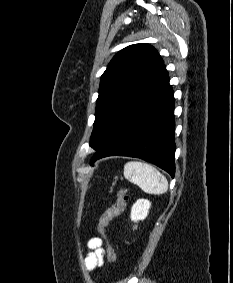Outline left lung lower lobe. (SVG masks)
Here are the masks:
<instances>
[{
	"label": "left lung lower lobe",
	"instance_id": "left-lung-lower-lobe-1",
	"mask_svg": "<svg viewBox=\"0 0 233 283\" xmlns=\"http://www.w3.org/2000/svg\"><path fill=\"white\" fill-rule=\"evenodd\" d=\"M174 93L164 64L91 159L111 155L144 159L175 175Z\"/></svg>",
	"mask_w": 233,
	"mask_h": 283
}]
</instances>
